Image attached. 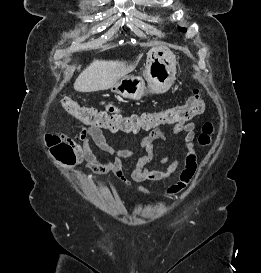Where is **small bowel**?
Listing matches in <instances>:
<instances>
[{"mask_svg":"<svg viewBox=\"0 0 261 273\" xmlns=\"http://www.w3.org/2000/svg\"><path fill=\"white\" fill-rule=\"evenodd\" d=\"M104 111L111 115L123 116L122 111L113 104H104ZM195 125L193 122L176 123L172 129L173 135L184 133V142L187 146V153L184 157V167L179 175L178 183L184 186L173 190L170 187L166 195L174 196L184 190L190 183L197 170V154L194 148ZM114 132V131H112ZM166 134L160 128L152 129L147 136L138 143V148L143 151V155L136 161L131 171V180L126 178L123 171V160L131 158L135 154L134 149H116L106 141L102 131L96 126L84 127L81 132L70 140L75 153L74 164L86 162V173L88 178L96 181V175L112 174L119 182L126 187L132 185V181L141 183L144 181H160L171 176L180 164L179 159L170 160L169 157H163L160 162L167 164L165 170H152L148 167L154 157L153 142L157 139L166 140ZM93 141L103 152L114 156L112 160H101L92 151L90 142ZM73 164V165H74ZM138 191L144 195H152V191L139 185Z\"/></svg>","mask_w":261,"mask_h":273,"instance_id":"small-bowel-1","label":"small bowel"}]
</instances>
